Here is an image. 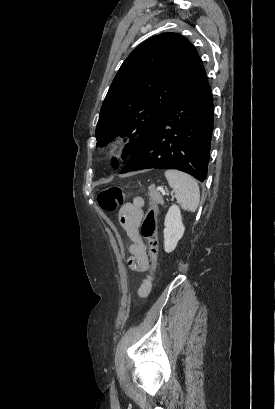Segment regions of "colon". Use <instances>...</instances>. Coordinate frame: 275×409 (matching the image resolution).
<instances>
[{
	"label": "colon",
	"instance_id": "obj_1",
	"mask_svg": "<svg viewBox=\"0 0 275 409\" xmlns=\"http://www.w3.org/2000/svg\"><path fill=\"white\" fill-rule=\"evenodd\" d=\"M127 193H125L119 187H110L102 190L97 196V202L103 209L105 216H112L114 211L121 208L127 199ZM158 205L152 202L149 209L143 218L140 226V233L142 237L147 241L148 254L151 260V266L148 272L149 282L148 288L144 292V296L147 297L150 293V286L154 279V273L157 266L158 245L159 240L157 236V224H158Z\"/></svg>",
	"mask_w": 275,
	"mask_h": 409
}]
</instances>
